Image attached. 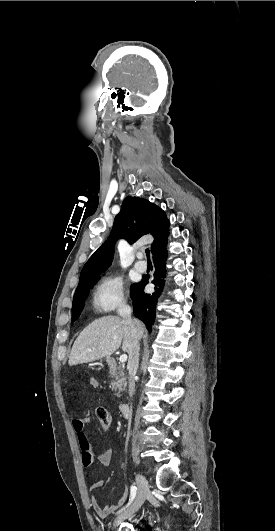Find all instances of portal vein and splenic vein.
I'll list each match as a JSON object with an SVG mask.
<instances>
[{"label": "portal vein and splenic vein", "instance_id": "portal-vein-and-splenic-vein-1", "mask_svg": "<svg viewBox=\"0 0 275 531\" xmlns=\"http://www.w3.org/2000/svg\"><path fill=\"white\" fill-rule=\"evenodd\" d=\"M127 359H128L127 355H120L119 357L120 363H126Z\"/></svg>", "mask_w": 275, "mask_h": 531}]
</instances>
